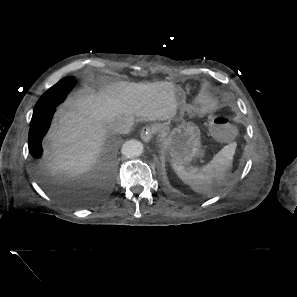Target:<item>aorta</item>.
<instances>
[{"label": "aorta", "instance_id": "obj_1", "mask_svg": "<svg viewBox=\"0 0 297 297\" xmlns=\"http://www.w3.org/2000/svg\"><path fill=\"white\" fill-rule=\"evenodd\" d=\"M143 144L137 140L126 141L122 148L121 153L127 158H135L142 154Z\"/></svg>", "mask_w": 297, "mask_h": 297}]
</instances>
